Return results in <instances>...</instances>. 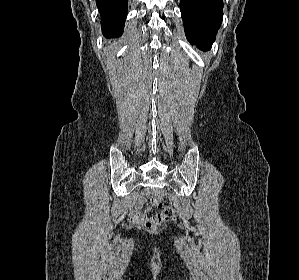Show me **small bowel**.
Wrapping results in <instances>:
<instances>
[{
  "mask_svg": "<svg viewBox=\"0 0 299 280\" xmlns=\"http://www.w3.org/2000/svg\"><path fill=\"white\" fill-rule=\"evenodd\" d=\"M144 203L145 197H140L136 202L135 209L131 213V219L139 224L146 223L148 221V210H143Z\"/></svg>",
  "mask_w": 299,
  "mask_h": 280,
  "instance_id": "1",
  "label": "small bowel"
}]
</instances>
